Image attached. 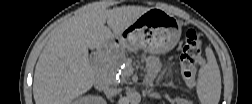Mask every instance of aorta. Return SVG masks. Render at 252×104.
Wrapping results in <instances>:
<instances>
[{
  "label": "aorta",
  "instance_id": "obj_1",
  "mask_svg": "<svg viewBox=\"0 0 252 104\" xmlns=\"http://www.w3.org/2000/svg\"><path fill=\"white\" fill-rule=\"evenodd\" d=\"M127 100L129 103L131 104H139L140 101H141V95L139 92H130L128 95H127Z\"/></svg>",
  "mask_w": 252,
  "mask_h": 104
}]
</instances>
